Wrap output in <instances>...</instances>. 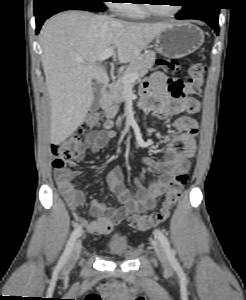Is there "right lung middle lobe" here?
<instances>
[{
  "label": "right lung middle lobe",
  "instance_id": "obj_1",
  "mask_svg": "<svg viewBox=\"0 0 246 300\" xmlns=\"http://www.w3.org/2000/svg\"><path fill=\"white\" fill-rule=\"evenodd\" d=\"M45 0H34V6L41 4ZM89 2L92 3V5L103 8L104 9V4L102 3L103 0H88Z\"/></svg>",
  "mask_w": 246,
  "mask_h": 300
}]
</instances>
